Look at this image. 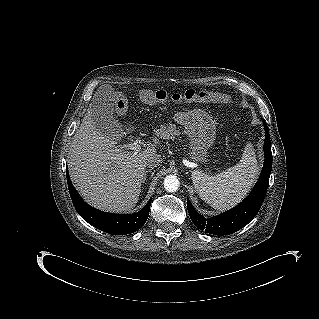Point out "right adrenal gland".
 Masks as SVG:
<instances>
[{"mask_svg":"<svg viewBox=\"0 0 319 319\" xmlns=\"http://www.w3.org/2000/svg\"><path fill=\"white\" fill-rule=\"evenodd\" d=\"M148 172H151V170H147V171L145 172V176H144L143 183H145V181H146V178H147V174H148Z\"/></svg>","mask_w":319,"mask_h":319,"instance_id":"right-adrenal-gland-1","label":"right adrenal gland"}]
</instances>
